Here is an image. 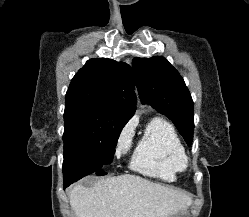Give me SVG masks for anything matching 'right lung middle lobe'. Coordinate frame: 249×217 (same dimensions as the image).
Wrapping results in <instances>:
<instances>
[{
  "instance_id": "1",
  "label": "right lung middle lobe",
  "mask_w": 249,
  "mask_h": 217,
  "mask_svg": "<svg viewBox=\"0 0 249 217\" xmlns=\"http://www.w3.org/2000/svg\"><path fill=\"white\" fill-rule=\"evenodd\" d=\"M127 119L88 102H66L64 152L76 153L96 163L110 164L120 132Z\"/></svg>"
}]
</instances>
